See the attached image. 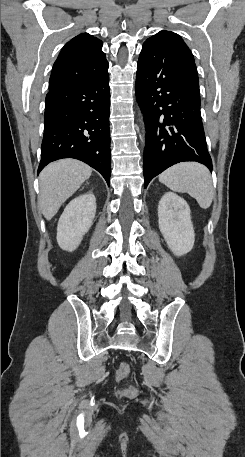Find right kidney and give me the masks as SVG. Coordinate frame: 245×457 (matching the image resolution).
I'll return each mask as SVG.
<instances>
[{"label":"right kidney","mask_w":245,"mask_h":457,"mask_svg":"<svg viewBox=\"0 0 245 457\" xmlns=\"http://www.w3.org/2000/svg\"><path fill=\"white\" fill-rule=\"evenodd\" d=\"M96 212V198L93 192H85L70 200L64 208L57 226V243L63 251H75L83 235L92 226Z\"/></svg>","instance_id":"obj_1"}]
</instances>
